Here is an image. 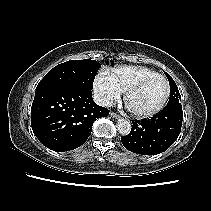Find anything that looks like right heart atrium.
Here are the masks:
<instances>
[{
  "label": "right heart atrium",
  "instance_id": "1",
  "mask_svg": "<svg viewBox=\"0 0 211 211\" xmlns=\"http://www.w3.org/2000/svg\"><path fill=\"white\" fill-rule=\"evenodd\" d=\"M93 90L97 101L105 106L117 102L121 97V90L110 72L100 71L93 82Z\"/></svg>",
  "mask_w": 211,
  "mask_h": 211
}]
</instances>
